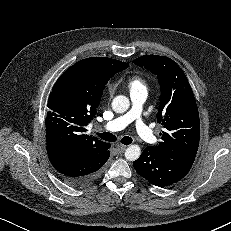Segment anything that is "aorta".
I'll list each match as a JSON object with an SVG mask.
<instances>
[{
    "label": "aorta",
    "instance_id": "aorta-1",
    "mask_svg": "<svg viewBox=\"0 0 231 231\" xmlns=\"http://www.w3.org/2000/svg\"><path fill=\"white\" fill-rule=\"evenodd\" d=\"M130 101L126 96L118 95L112 101V109L116 113H124L129 109ZM141 155V148L137 144L130 145L125 151V158L128 161H135Z\"/></svg>",
    "mask_w": 231,
    "mask_h": 231
}]
</instances>
